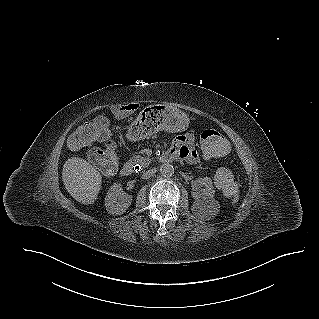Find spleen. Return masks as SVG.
<instances>
[{
    "mask_svg": "<svg viewBox=\"0 0 319 319\" xmlns=\"http://www.w3.org/2000/svg\"><path fill=\"white\" fill-rule=\"evenodd\" d=\"M239 200V196L238 195H234V198L232 199V205H235Z\"/></svg>",
    "mask_w": 319,
    "mask_h": 319,
    "instance_id": "obj_1",
    "label": "spleen"
}]
</instances>
